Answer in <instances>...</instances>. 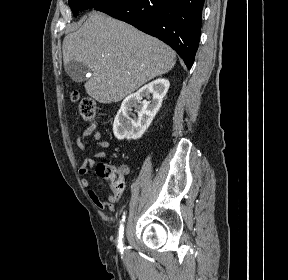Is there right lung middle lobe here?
<instances>
[{"label":"right lung middle lobe","mask_w":288,"mask_h":280,"mask_svg":"<svg viewBox=\"0 0 288 280\" xmlns=\"http://www.w3.org/2000/svg\"><path fill=\"white\" fill-rule=\"evenodd\" d=\"M113 0H69V6L76 17L80 11L95 8Z\"/></svg>","instance_id":"obj_1"}]
</instances>
